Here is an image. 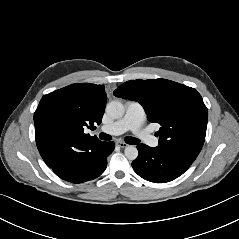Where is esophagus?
<instances>
[{
    "mask_svg": "<svg viewBox=\"0 0 239 239\" xmlns=\"http://www.w3.org/2000/svg\"><path fill=\"white\" fill-rule=\"evenodd\" d=\"M117 146L121 147V148H126L128 146L127 143L125 142H122V141H119L116 143Z\"/></svg>",
    "mask_w": 239,
    "mask_h": 239,
    "instance_id": "obj_1",
    "label": "esophagus"
}]
</instances>
